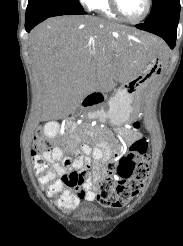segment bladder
Returning <instances> with one entry per match:
<instances>
[{
    "instance_id": "1",
    "label": "bladder",
    "mask_w": 183,
    "mask_h": 246,
    "mask_svg": "<svg viewBox=\"0 0 183 246\" xmlns=\"http://www.w3.org/2000/svg\"><path fill=\"white\" fill-rule=\"evenodd\" d=\"M85 216L90 219H99L103 216V212L99 209H90Z\"/></svg>"
}]
</instances>
